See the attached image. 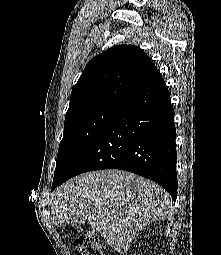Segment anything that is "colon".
Here are the masks:
<instances>
[{"instance_id": "5ec220e1", "label": "colon", "mask_w": 221, "mask_h": 255, "mask_svg": "<svg viewBox=\"0 0 221 255\" xmlns=\"http://www.w3.org/2000/svg\"><path fill=\"white\" fill-rule=\"evenodd\" d=\"M75 255H108L104 252L98 236L92 231H81L75 238Z\"/></svg>"}]
</instances>
